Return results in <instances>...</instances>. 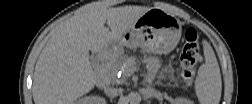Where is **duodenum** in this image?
<instances>
[{"instance_id": "410a0bca", "label": "duodenum", "mask_w": 252, "mask_h": 104, "mask_svg": "<svg viewBox=\"0 0 252 104\" xmlns=\"http://www.w3.org/2000/svg\"><path fill=\"white\" fill-rule=\"evenodd\" d=\"M97 86L99 88H102L104 86V80L102 78H98V80H97Z\"/></svg>"}]
</instances>
